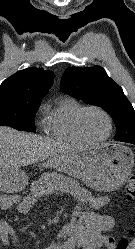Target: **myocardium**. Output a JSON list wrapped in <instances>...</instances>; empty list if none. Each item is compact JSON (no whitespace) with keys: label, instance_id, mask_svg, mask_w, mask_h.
I'll return each mask as SVG.
<instances>
[{"label":"myocardium","instance_id":"1","mask_svg":"<svg viewBox=\"0 0 135 249\" xmlns=\"http://www.w3.org/2000/svg\"><path fill=\"white\" fill-rule=\"evenodd\" d=\"M97 111L99 112L100 114H102L105 119L107 120V123H108V132L107 134L102 138V139H99V140H93V139H90L84 132V129H83V125H82V120H83V117L85 116V114L89 111ZM75 127H76V130L78 132V134L81 136V138L86 142V144H100V143H103L105 141H107L111 134H112V131H113V121H112V118L110 116V114L104 110L103 108L99 107V106H96V105H90V106H85L83 107L77 114L76 118H75Z\"/></svg>","mask_w":135,"mask_h":249}]
</instances>
